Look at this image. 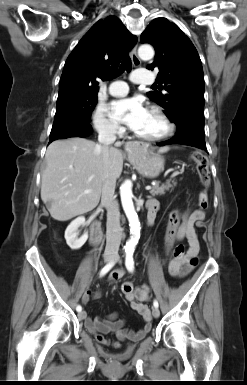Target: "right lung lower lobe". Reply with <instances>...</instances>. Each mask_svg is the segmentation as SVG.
Here are the masks:
<instances>
[{
  "label": "right lung lower lobe",
  "mask_w": 247,
  "mask_h": 385,
  "mask_svg": "<svg viewBox=\"0 0 247 385\" xmlns=\"http://www.w3.org/2000/svg\"><path fill=\"white\" fill-rule=\"evenodd\" d=\"M92 132V127L89 123L72 122L65 124L56 129H52L50 133L51 143L54 140L68 138V137H84Z\"/></svg>",
  "instance_id": "right-lung-lower-lobe-1"
}]
</instances>
